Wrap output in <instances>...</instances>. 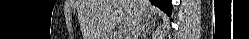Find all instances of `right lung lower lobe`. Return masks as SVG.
Segmentation results:
<instances>
[{"instance_id": "1", "label": "right lung lower lobe", "mask_w": 249, "mask_h": 39, "mask_svg": "<svg viewBox=\"0 0 249 39\" xmlns=\"http://www.w3.org/2000/svg\"><path fill=\"white\" fill-rule=\"evenodd\" d=\"M151 3L162 9L167 14L169 15L171 14L172 10L171 0H151Z\"/></svg>"}]
</instances>
